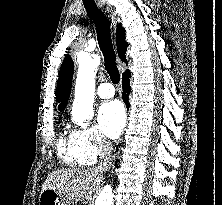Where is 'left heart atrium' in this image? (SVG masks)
<instances>
[{
  "instance_id": "obj_1",
  "label": "left heart atrium",
  "mask_w": 222,
  "mask_h": 205,
  "mask_svg": "<svg viewBox=\"0 0 222 205\" xmlns=\"http://www.w3.org/2000/svg\"><path fill=\"white\" fill-rule=\"evenodd\" d=\"M98 122L104 135L117 138L125 125L123 105L117 100L104 103L98 111Z\"/></svg>"
}]
</instances>
